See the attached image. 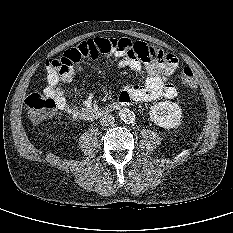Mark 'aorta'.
Returning <instances> with one entry per match:
<instances>
[{"instance_id":"obj_1","label":"aorta","mask_w":233,"mask_h":233,"mask_svg":"<svg viewBox=\"0 0 233 233\" xmlns=\"http://www.w3.org/2000/svg\"><path fill=\"white\" fill-rule=\"evenodd\" d=\"M119 117L125 123H133L135 120L134 112L127 108L120 110Z\"/></svg>"}]
</instances>
